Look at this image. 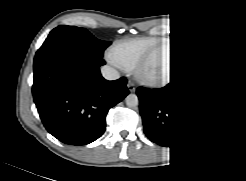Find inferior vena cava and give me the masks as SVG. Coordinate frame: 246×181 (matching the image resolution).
Masks as SVG:
<instances>
[{"mask_svg":"<svg viewBox=\"0 0 246 181\" xmlns=\"http://www.w3.org/2000/svg\"><path fill=\"white\" fill-rule=\"evenodd\" d=\"M101 73L106 80H116L120 77L119 72L108 65L101 67Z\"/></svg>","mask_w":246,"mask_h":181,"instance_id":"602c4592","label":"inferior vena cava"}]
</instances>
